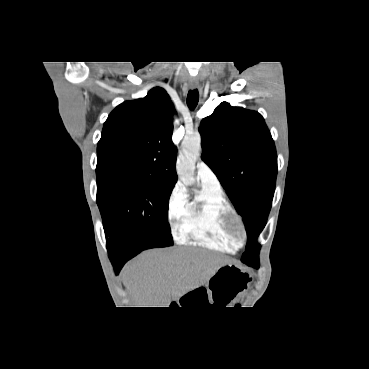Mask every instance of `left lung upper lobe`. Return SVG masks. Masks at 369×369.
<instances>
[{
	"label": "left lung upper lobe",
	"instance_id": "5c2ea615",
	"mask_svg": "<svg viewBox=\"0 0 369 369\" xmlns=\"http://www.w3.org/2000/svg\"><path fill=\"white\" fill-rule=\"evenodd\" d=\"M202 159L213 170L247 231L241 261L259 267L257 237L265 227L277 175L274 141L255 111L222 102L201 121Z\"/></svg>",
	"mask_w": 369,
	"mask_h": 369
}]
</instances>
